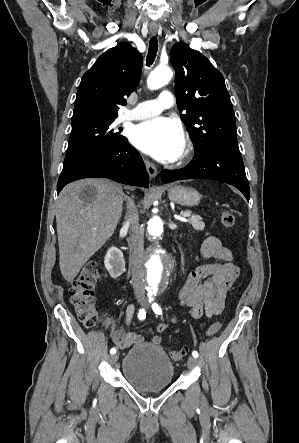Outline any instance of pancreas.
<instances>
[{
    "label": "pancreas",
    "instance_id": "obj_1",
    "mask_svg": "<svg viewBox=\"0 0 299 443\" xmlns=\"http://www.w3.org/2000/svg\"><path fill=\"white\" fill-rule=\"evenodd\" d=\"M187 213H191L190 211H186ZM189 224L197 231H202L205 228V223L202 221V218L198 215H192L189 218Z\"/></svg>",
    "mask_w": 299,
    "mask_h": 443
}]
</instances>
